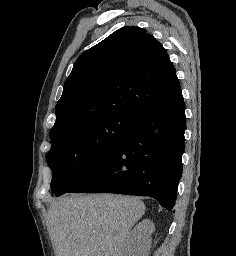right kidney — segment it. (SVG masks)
Wrapping results in <instances>:
<instances>
[{
	"instance_id": "1",
	"label": "right kidney",
	"mask_w": 236,
	"mask_h": 256,
	"mask_svg": "<svg viewBox=\"0 0 236 256\" xmlns=\"http://www.w3.org/2000/svg\"><path fill=\"white\" fill-rule=\"evenodd\" d=\"M151 220H142L131 232L125 242V256H149L152 244L151 236L154 232Z\"/></svg>"
}]
</instances>
